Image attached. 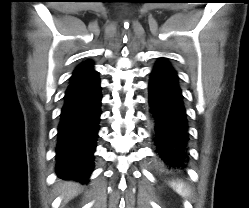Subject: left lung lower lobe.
Segmentation results:
<instances>
[{"label": "left lung lower lobe", "mask_w": 249, "mask_h": 208, "mask_svg": "<svg viewBox=\"0 0 249 208\" xmlns=\"http://www.w3.org/2000/svg\"><path fill=\"white\" fill-rule=\"evenodd\" d=\"M149 124L155 152L166 171L186 168L188 125L178 76L170 63L161 58L149 82Z\"/></svg>", "instance_id": "0a47b994"}]
</instances>
